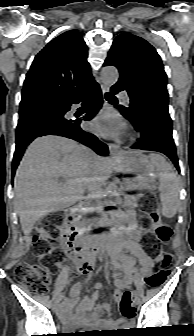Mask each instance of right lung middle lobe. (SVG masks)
Here are the masks:
<instances>
[{
    "label": "right lung middle lobe",
    "mask_w": 194,
    "mask_h": 336,
    "mask_svg": "<svg viewBox=\"0 0 194 336\" xmlns=\"http://www.w3.org/2000/svg\"><path fill=\"white\" fill-rule=\"evenodd\" d=\"M51 108H42V109H20L19 110V117H28V116H32V115H35L39 112H42V111H47V110H50Z\"/></svg>",
    "instance_id": "1"
}]
</instances>
